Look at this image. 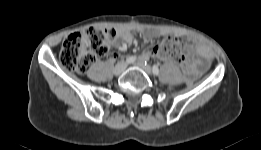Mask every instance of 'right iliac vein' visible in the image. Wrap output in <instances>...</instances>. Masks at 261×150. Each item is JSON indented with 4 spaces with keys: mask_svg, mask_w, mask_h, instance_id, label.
Wrapping results in <instances>:
<instances>
[{
    "mask_svg": "<svg viewBox=\"0 0 261 150\" xmlns=\"http://www.w3.org/2000/svg\"><path fill=\"white\" fill-rule=\"evenodd\" d=\"M126 63H118L115 67H114V74L115 75H120L121 73H123L126 69Z\"/></svg>",
    "mask_w": 261,
    "mask_h": 150,
    "instance_id": "obj_1",
    "label": "right iliac vein"
}]
</instances>
